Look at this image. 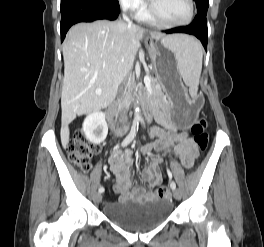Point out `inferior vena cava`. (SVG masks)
Returning <instances> with one entry per match:
<instances>
[{
	"label": "inferior vena cava",
	"instance_id": "inferior-vena-cava-1",
	"mask_svg": "<svg viewBox=\"0 0 264 247\" xmlns=\"http://www.w3.org/2000/svg\"><path fill=\"white\" fill-rule=\"evenodd\" d=\"M127 10V5H123V11L125 12ZM123 19L128 23V25H132V22L129 20V18L125 15V13H123ZM118 94L119 97L122 98V94H123V87L121 85H119V89H118ZM128 120L127 114L124 112L121 117H120V122L121 123H126Z\"/></svg>",
	"mask_w": 264,
	"mask_h": 247
}]
</instances>
